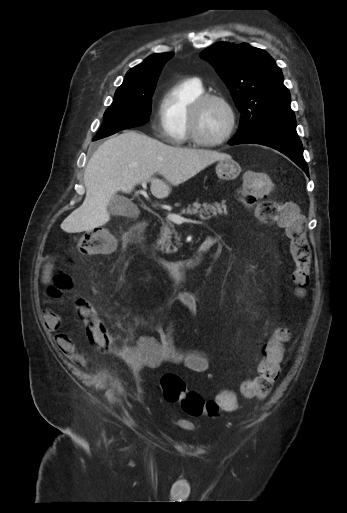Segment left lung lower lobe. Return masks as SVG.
Masks as SVG:
<instances>
[{
	"mask_svg": "<svg viewBox=\"0 0 347 513\" xmlns=\"http://www.w3.org/2000/svg\"><path fill=\"white\" fill-rule=\"evenodd\" d=\"M260 144L285 154L309 175L308 166L303 157L302 143L296 132L295 119H276L265 122L252 131L235 136L230 145Z\"/></svg>",
	"mask_w": 347,
	"mask_h": 513,
	"instance_id": "0a47b994",
	"label": "left lung lower lobe"
}]
</instances>
